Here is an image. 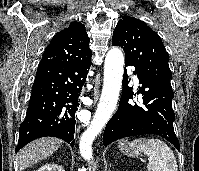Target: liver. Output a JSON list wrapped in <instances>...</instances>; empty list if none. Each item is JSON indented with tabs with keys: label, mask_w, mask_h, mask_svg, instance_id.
Returning a JSON list of instances; mask_svg holds the SVG:
<instances>
[{
	"label": "liver",
	"mask_w": 199,
	"mask_h": 171,
	"mask_svg": "<svg viewBox=\"0 0 199 171\" xmlns=\"http://www.w3.org/2000/svg\"><path fill=\"white\" fill-rule=\"evenodd\" d=\"M60 145L61 140L54 137H44L30 142L17 154L19 170L22 171L52 155Z\"/></svg>",
	"instance_id": "liver-1"
}]
</instances>
